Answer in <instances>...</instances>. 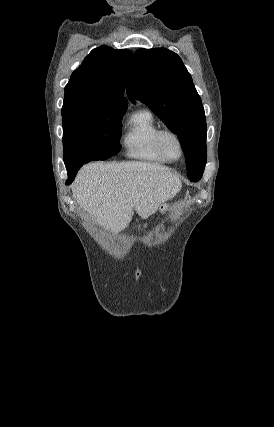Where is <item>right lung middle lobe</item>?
Instances as JSON below:
<instances>
[{"mask_svg": "<svg viewBox=\"0 0 274 427\" xmlns=\"http://www.w3.org/2000/svg\"><path fill=\"white\" fill-rule=\"evenodd\" d=\"M121 104H81L62 109L66 166L105 160L120 150Z\"/></svg>", "mask_w": 274, "mask_h": 427, "instance_id": "1", "label": "right lung middle lobe"}]
</instances>
